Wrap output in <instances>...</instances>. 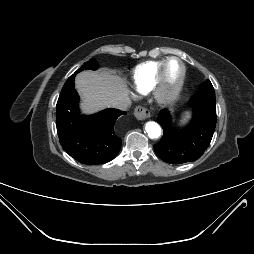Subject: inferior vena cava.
I'll list each match as a JSON object with an SVG mask.
<instances>
[{
	"mask_svg": "<svg viewBox=\"0 0 254 254\" xmlns=\"http://www.w3.org/2000/svg\"><path fill=\"white\" fill-rule=\"evenodd\" d=\"M130 106V100L128 98L120 99L112 103V107L119 110H127Z\"/></svg>",
	"mask_w": 254,
	"mask_h": 254,
	"instance_id": "obj_1",
	"label": "inferior vena cava"
}]
</instances>
